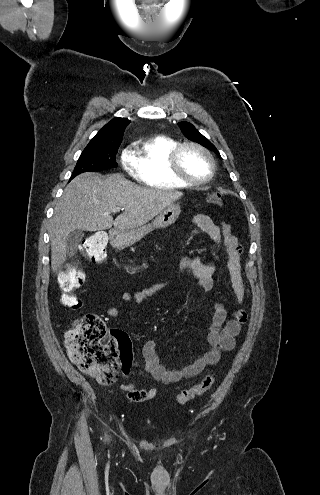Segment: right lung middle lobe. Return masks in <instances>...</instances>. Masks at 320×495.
<instances>
[{"label":"right lung middle lobe","mask_w":320,"mask_h":495,"mask_svg":"<svg viewBox=\"0 0 320 495\" xmlns=\"http://www.w3.org/2000/svg\"><path fill=\"white\" fill-rule=\"evenodd\" d=\"M120 145L87 146L81 153L70 178L90 171L117 167L116 153Z\"/></svg>","instance_id":"right-lung-middle-lobe-1"}]
</instances>
